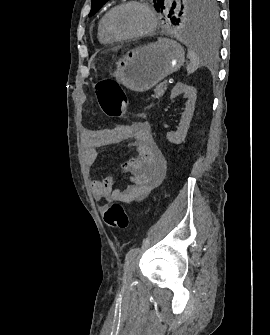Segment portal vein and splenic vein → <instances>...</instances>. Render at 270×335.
Masks as SVG:
<instances>
[{
  "label": "portal vein and splenic vein",
  "mask_w": 270,
  "mask_h": 335,
  "mask_svg": "<svg viewBox=\"0 0 270 335\" xmlns=\"http://www.w3.org/2000/svg\"><path fill=\"white\" fill-rule=\"evenodd\" d=\"M167 82H168V79H165L162 83L165 85L167 84Z\"/></svg>",
  "instance_id": "1"
}]
</instances>
